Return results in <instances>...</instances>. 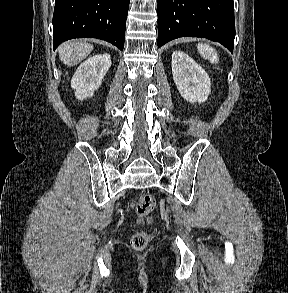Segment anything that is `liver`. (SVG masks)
<instances>
[{
  "mask_svg": "<svg viewBox=\"0 0 288 293\" xmlns=\"http://www.w3.org/2000/svg\"><path fill=\"white\" fill-rule=\"evenodd\" d=\"M93 50V45L83 41H68L58 48L60 60L67 66L83 61Z\"/></svg>",
  "mask_w": 288,
  "mask_h": 293,
  "instance_id": "1",
  "label": "liver"
}]
</instances>
